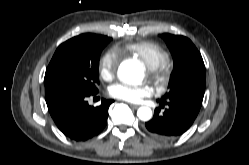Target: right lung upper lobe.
Returning a JSON list of instances; mask_svg holds the SVG:
<instances>
[{
    "instance_id": "right-lung-upper-lobe-1",
    "label": "right lung upper lobe",
    "mask_w": 249,
    "mask_h": 165,
    "mask_svg": "<svg viewBox=\"0 0 249 165\" xmlns=\"http://www.w3.org/2000/svg\"><path fill=\"white\" fill-rule=\"evenodd\" d=\"M93 35L96 36V37H98V38H102V39L108 38V37L102 36V35H95V34H93Z\"/></svg>"
}]
</instances>
